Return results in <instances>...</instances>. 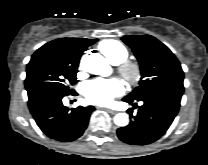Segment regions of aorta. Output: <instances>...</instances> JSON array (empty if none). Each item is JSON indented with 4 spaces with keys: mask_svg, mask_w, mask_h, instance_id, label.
<instances>
[{
    "mask_svg": "<svg viewBox=\"0 0 208 165\" xmlns=\"http://www.w3.org/2000/svg\"><path fill=\"white\" fill-rule=\"evenodd\" d=\"M85 67L88 72L95 75L106 76L109 73V66L106 59L97 53L86 57ZM114 123L117 126L124 127L129 123V117L126 113H118L114 116Z\"/></svg>",
    "mask_w": 208,
    "mask_h": 165,
    "instance_id": "aorta-1",
    "label": "aorta"
}]
</instances>
